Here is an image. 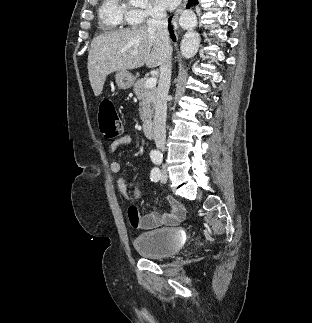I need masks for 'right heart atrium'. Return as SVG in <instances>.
Listing matches in <instances>:
<instances>
[{"mask_svg":"<svg viewBox=\"0 0 312 323\" xmlns=\"http://www.w3.org/2000/svg\"><path fill=\"white\" fill-rule=\"evenodd\" d=\"M125 17H132V22H151L152 17H166L163 6H138L136 10H125Z\"/></svg>","mask_w":312,"mask_h":323,"instance_id":"1","label":"right heart atrium"}]
</instances>
